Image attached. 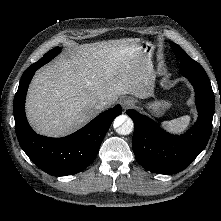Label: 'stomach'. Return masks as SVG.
Instances as JSON below:
<instances>
[{
    "mask_svg": "<svg viewBox=\"0 0 221 221\" xmlns=\"http://www.w3.org/2000/svg\"><path fill=\"white\" fill-rule=\"evenodd\" d=\"M139 45H140L143 55L151 59L155 51L154 44L148 40H140ZM169 106H170V103L166 101H155V102L148 104V108L151 109L153 114L157 116L162 115L164 111L167 108H169Z\"/></svg>",
    "mask_w": 221,
    "mask_h": 221,
    "instance_id": "1",
    "label": "stomach"
}]
</instances>
